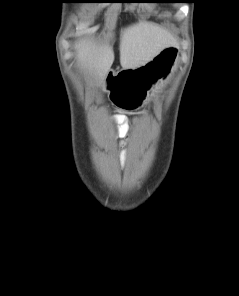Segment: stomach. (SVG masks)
Segmentation results:
<instances>
[{"label": "stomach", "mask_w": 239, "mask_h": 296, "mask_svg": "<svg viewBox=\"0 0 239 296\" xmlns=\"http://www.w3.org/2000/svg\"><path fill=\"white\" fill-rule=\"evenodd\" d=\"M177 45L163 48L152 60L135 69H119L115 84H149L156 79H164L174 68L178 58ZM149 85H107L105 94H109L116 108L123 111H139L146 98H151Z\"/></svg>", "instance_id": "obj_1"}]
</instances>
